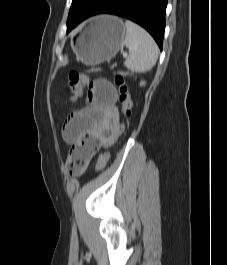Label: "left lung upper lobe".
<instances>
[{"label":"left lung upper lobe","instance_id":"5c2ea615","mask_svg":"<svg viewBox=\"0 0 227 265\" xmlns=\"http://www.w3.org/2000/svg\"><path fill=\"white\" fill-rule=\"evenodd\" d=\"M105 0H72L67 19V30L88 18Z\"/></svg>","mask_w":227,"mask_h":265}]
</instances>
